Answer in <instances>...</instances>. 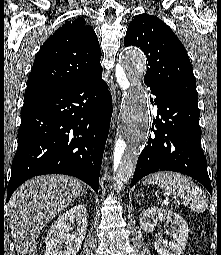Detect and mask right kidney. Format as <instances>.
<instances>
[{"label":"right kidney","mask_w":221,"mask_h":255,"mask_svg":"<svg viewBox=\"0 0 221 255\" xmlns=\"http://www.w3.org/2000/svg\"><path fill=\"white\" fill-rule=\"evenodd\" d=\"M76 222L77 231L70 234L71 223ZM87 232V210L78 204L61 214L51 225L46 236L45 255H76Z\"/></svg>","instance_id":"right-kidney-1"}]
</instances>
